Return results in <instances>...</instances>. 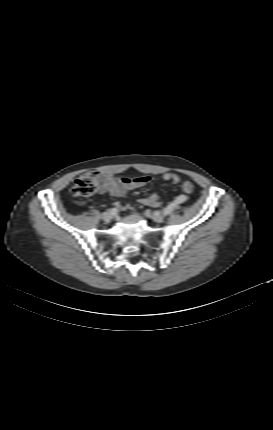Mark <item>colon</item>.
<instances>
[{"mask_svg":"<svg viewBox=\"0 0 273 430\" xmlns=\"http://www.w3.org/2000/svg\"><path fill=\"white\" fill-rule=\"evenodd\" d=\"M182 189L186 194H190L194 190L191 182H184ZM98 190V179L95 173H84L74 182L71 192L76 197H89Z\"/></svg>","mask_w":273,"mask_h":430,"instance_id":"obj_1","label":"colon"}]
</instances>
